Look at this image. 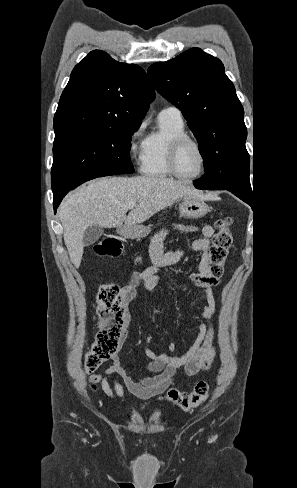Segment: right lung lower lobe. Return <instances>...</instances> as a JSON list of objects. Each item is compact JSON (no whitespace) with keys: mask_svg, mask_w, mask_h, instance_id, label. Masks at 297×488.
Segmentation results:
<instances>
[{"mask_svg":"<svg viewBox=\"0 0 297 488\" xmlns=\"http://www.w3.org/2000/svg\"><path fill=\"white\" fill-rule=\"evenodd\" d=\"M65 195H66V194H63V195H61V196H59V197L54 198L53 205H54V211H55V212H56V210H57V208H58V206H59L60 202L62 201V199H63V197H64Z\"/></svg>","mask_w":297,"mask_h":488,"instance_id":"98d812e1","label":"right lung lower lobe"}]
</instances>
